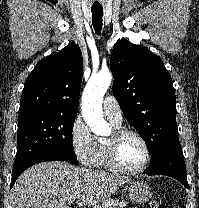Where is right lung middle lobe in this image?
Wrapping results in <instances>:
<instances>
[{
  "instance_id": "obj_1",
  "label": "right lung middle lobe",
  "mask_w": 199,
  "mask_h": 208,
  "mask_svg": "<svg viewBox=\"0 0 199 208\" xmlns=\"http://www.w3.org/2000/svg\"><path fill=\"white\" fill-rule=\"evenodd\" d=\"M76 114L46 111L19 113L17 155L13 168L39 156H59L76 163L72 131Z\"/></svg>"
}]
</instances>
